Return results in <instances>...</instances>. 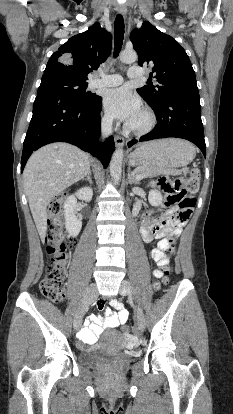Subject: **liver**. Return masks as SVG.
I'll return each mask as SVG.
<instances>
[{
	"mask_svg": "<svg viewBox=\"0 0 233 414\" xmlns=\"http://www.w3.org/2000/svg\"><path fill=\"white\" fill-rule=\"evenodd\" d=\"M90 157L68 143H51L34 152L25 166L24 190L39 236L47 231V206L90 172Z\"/></svg>",
	"mask_w": 233,
	"mask_h": 414,
	"instance_id": "obj_1",
	"label": "liver"
}]
</instances>
